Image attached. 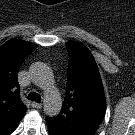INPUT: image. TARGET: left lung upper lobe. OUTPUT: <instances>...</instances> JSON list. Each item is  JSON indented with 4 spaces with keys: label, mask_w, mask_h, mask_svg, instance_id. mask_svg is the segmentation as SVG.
<instances>
[{
    "label": "left lung upper lobe",
    "mask_w": 135,
    "mask_h": 135,
    "mask_svg": "<svg viewBox=\"0 0 135 135\" xmlns=\"http://www.w3.org/2000/svg\"><path fill=\"white\" fill-rule=\"evenodd\" d=\"M69 51L66 96L60 113L46 117L55 135H93L105 115L103 84L95 59L79 42H67Z\"/></svg>",
    "instance_id": "1"
}]
</instances>
